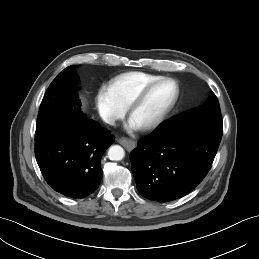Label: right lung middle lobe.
I'll return each mask as SVG.
<instances>
[{"label": "right lung middle lobe", "instance_id": "right-lung-middle-lobe-1", "mask_svg": "<svg viewBox=\"0 0 259 259\" xmlns=\"http://www.w3.org/2000/svg\"><path fill=\"white\" fill-rule=\"evenodd\" d=\"M76 68L75 65L65 68L50 84L40 105L36 132H40L56 117L73 120L85 118V115L75 108L76 105H80L77 93L79 78L75 72Z\"/></svg>", "mask_w": 259, "mask_h": 259}]
</instances>
